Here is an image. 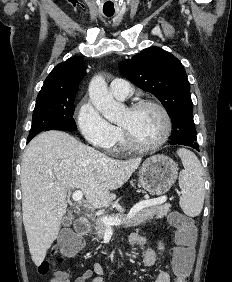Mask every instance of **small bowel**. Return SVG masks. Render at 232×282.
<instances>
[{"mask_svg":"<svg viewBox=\"0 0 232 282\" xmlns=\"http://www.w3.org/2000/svg\"><path fill=\"white\" fill-rule=\"evenodd\" d=\"M129 241L130 243L139 245L143 248V264L147 268L152 267L156 263L158 255L160 258H163L164 256L165 246L162 241L157 242L158 252L148 245L146 237L141 234H131ZM104 270L105 267L102 263H95L91 269L84 271L73 281H70L67 278L65 272L58 271L49 282H105ZM154 282H171L169 273L166 270H161Z\"/></svg>","mask_w":232,"mask_h":282,"instance_id":"obj_1","label":"small bowel"}]
</instances>
